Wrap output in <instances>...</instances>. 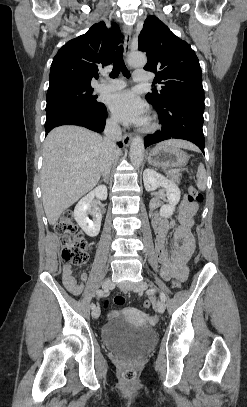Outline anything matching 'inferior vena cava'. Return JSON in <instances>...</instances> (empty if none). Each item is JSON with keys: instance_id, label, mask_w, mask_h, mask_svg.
<instances>
[{"instance_id": "1", "label": "inferior vena cava", "mask_w": 247, "mask_h": 407, "mask_svg": "<svg viewBox=\"0 0 247 407\" xmlns=\"http://www.w3.org/2000/svg\"><path fill=\"white\" fill-rule=\"evenodd\" d=\"M104 147L105 152L101 162V173L103 176H107L110 172L114 152L116 149V142L122 139V133L120 126L116 121L109 120L106 122L104 130Z\"/></svg>"}]
</instances>
